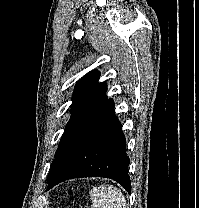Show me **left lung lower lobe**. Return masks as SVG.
Wrapping results in <instances>:
<instances>
[{"label":"left lung lower lobe","mask_w":199,"mask_h":208,"mask_svg":"<svg viewBox=\"0 0 199 208\" xmlns=\"http://www.w3.org/2000/svg\"><path fill=\"white\" fill-rule=\"evenodd\" d=\"M114 106L112 99L107 100L69 135L58 152L47 189L68 179L99 176L117 181L130 193V161Z\"/></svg>","instance_id":"0a47b994"}]
</instances>
